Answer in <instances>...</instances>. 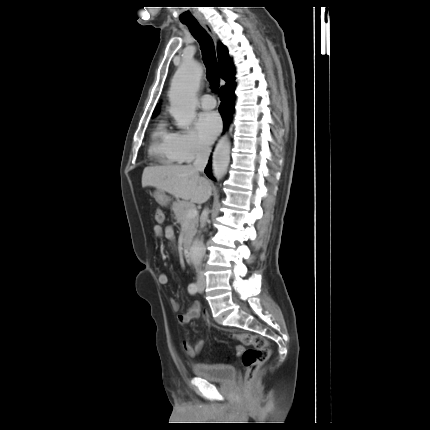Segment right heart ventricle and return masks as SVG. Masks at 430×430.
<instances>
[{
  "label": "right heart ventricle",
  "instance_id": "1",
  "mask_svg": "<svg viewBox=\"0 0 430 430\" xmlns=\"http://www.w3.org/2000/svg\"><path fill=\"white\" fill-rule=\"evenodd\" d=\"M173 133L161 121L151 134L150 154L162 164H177L181 161L176 155L172 144Z\"/></svg>",
  "mask_w": 430,
  "mask_h": 430
}]
</instances>
